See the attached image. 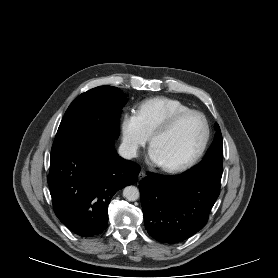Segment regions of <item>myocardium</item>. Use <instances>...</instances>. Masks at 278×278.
I'll list each match as a JSON object with an SVG mask.
<instances>
[{
  "mask_svg": "<svg viewBox=\"0 0 278 278\" xmlns=\"http://www.w3.org/2000/svg\"><path fill=\"white\" fill-rule=\"evenodd\" d=\"M190 115H195V116H198L201 118L203 125H204L203 140H202L198 150L187 160H185L181 163H178V164H174V165H161L162 169L166 172L178 173V172L185 171V170L189 169L190 167H192L193 165H195L200 160V158L203 156V154L205 153V151L207 149V146H208L209 140H210V136H211V128H210L209 121L202 112H200L198 110H194V109H189V110H185V111L176 113L175 115L170 117L167 121H165L160 126H158L151 133L150 144L152 146L154 140L158 136H161L163 134L170 132L177 126V124L182 119H184L185 117L190 116Z\"/></svg>",
  "mask_w": 278,
  "mask_h": 278,
  "instance_id": "myocardium-1",
  "label": "myocardium"
}]
</instances>
